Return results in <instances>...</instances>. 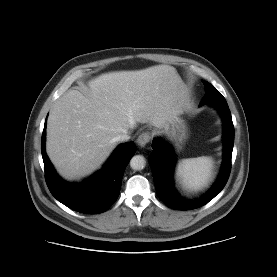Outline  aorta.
I'll list each match as a JSON object with an SVG mask.
<instances>
[{"label":"aorta","mask_w":277,"mask_h":277,"mask_svg":"<svg viewBox=\"0 0 277 277\" xmlns=\"http://www.w3.org/2000/svg\"><path fill=\"white\" fill-rule=\"evenodd\" d=\"M146 165V160L142 155H135L130 160V166L134 170H142Z\"/></svg>","instance_id":"1"}]
</instances>
